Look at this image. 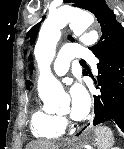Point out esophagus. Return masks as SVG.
Masks as SVG:
<instances>
[{
	"mask_svg": "<svg viewBox=\"0 0 124 149\" xmlns=\"http://www.w3.org/2000/svg\"><path fill=\"white\" fill-rule=\"evenodd\" d=\"M92 125H93V121L90 120L88 123H86V125H85V130L90 129V128L92 127Z\"/></svg>",
	"mask_w": 124,
	"mask_h": 149,
	"instance_id": "1",
	"label": "esophagus"
}]
</instances>
